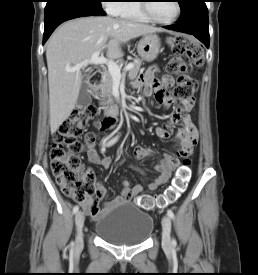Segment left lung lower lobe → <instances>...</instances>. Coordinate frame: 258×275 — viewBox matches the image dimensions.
I'll use <instances>...</instances> for the list:
<instances>
[{
	"instance_id": "1",
	"label": "left lung lower lobe",
	"mask_w": 258,
	"mask_h": 275,
	"mask_svg": "<svg viewBox=\"0 0 258 275\" xmlns=\"http://www.w3.org/2000/svg\"><path fill=\"white\" fill-rule=\"evenodd\" d=\"M206 0H188L182 9L180 21L167 29H172L198 38L206 47H209V22Z\"/></svg>"
}]
</instances>
